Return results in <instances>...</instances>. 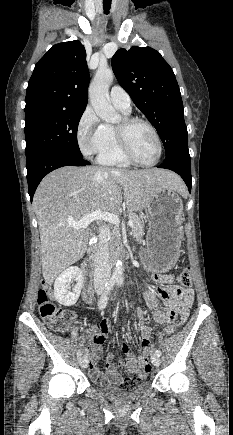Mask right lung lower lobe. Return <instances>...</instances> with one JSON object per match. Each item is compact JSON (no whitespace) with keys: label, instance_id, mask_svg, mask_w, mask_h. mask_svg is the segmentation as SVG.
<instances>
[{"label":"right lung lower lobe","instance_id":"98d812e1","mask_svg":"<svg viewBox=\"0 0 233 435\" xmlns=\"http://www.w3.org/2000/svg\"><path fill=\"white\" fill-rule=\"evenodd\" d=\"M26 159L28 191L31 201L37 186L49 172L63 166H85L90 164V162L83 159V156H75L60 150L38 151L26 157Z\"/></svg>","mask_w":233,"mask_h":435}]
</instances>
